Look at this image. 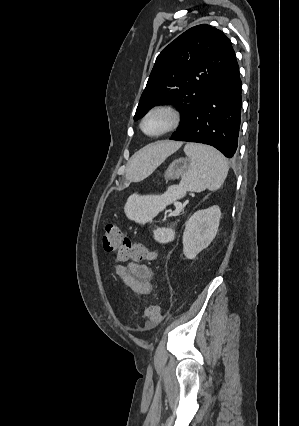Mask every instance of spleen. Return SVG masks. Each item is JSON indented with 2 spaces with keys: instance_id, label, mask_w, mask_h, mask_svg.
<instances>
[{
  "instance_id": "spleen-1",
  "label": "spleen",
  "mask_w": 299,
  "mask_h": 426,
  "mask_svg": "<svg viewBox=\"0 0 299 426\" xmlns=\"http://www.w3.org/2000/svg\"><path fill=\"white\" fill-rule=\"evenodd\" d=\"M184 152L190 161V168L180 183L169 186L161 195H131L124 206V212L130 220L140 224L151 222L159 211L184 197L187 191H214L222 186L229 166L219 151L210 146L189 143L184 147ZM153 233L154 239L160 243H167L175 236V232L168 228H157Z\"/></svg>"
}]
</instances>
